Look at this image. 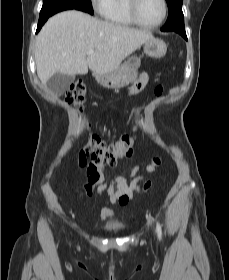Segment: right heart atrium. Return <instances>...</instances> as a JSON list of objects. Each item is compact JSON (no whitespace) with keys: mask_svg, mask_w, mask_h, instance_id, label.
Instances as JSON below:
<instances>
[{"mask_svg":"<svg viewBox=\"0 0 229 280\" xmlns=\"http://www.w3.org/2000/svg\"><path fill=\"white\" fill-rule=\"evenodd\" d=\"M90 2L94 10L103 15L109 7L111 0H90Z\"/></svg>","mask_w":229,"mask_h":280,"instance_id":"right-heart-atrium-1","label":"right heart atrium"}]
</instances>
